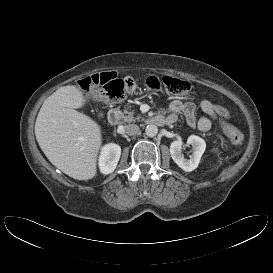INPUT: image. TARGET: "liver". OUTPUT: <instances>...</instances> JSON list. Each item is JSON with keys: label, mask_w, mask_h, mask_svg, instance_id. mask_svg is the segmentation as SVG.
Wrapping results in <instances>:
<instances>
[{"label": "liver", "mask_w": 273, "mask_h": 273, "mask_svg": "<svg viewBox=\"0 0 273 273\" xmlns=\"http://www.w3.org/2000/svg\"><path fill=\"white\" fill-rule=\"evenodd\" d=\"M86 102L80 87L63 86L44 101L35 123L36 140L45 156L77 180L95 177L102 146L99 124L75 110Z\"/></svg>", "instance_id": "liver-1"}]
</instances>
